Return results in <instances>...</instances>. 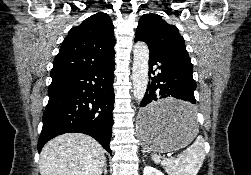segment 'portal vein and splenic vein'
Segmentation results:
<instances>
[{
	"mask_svg": "<svg viewBox=\"0 0 251 175\" xmlns=\"http://www.w3.org/2000/svg\"><path fill=\"white\" fill-rule=\"evenodd\" d=\"M176 152L175 151H169L168 153L164 154L165 158H170L171 156H175Z\"/></svg>",
	"mask_w": 251,
	"mask_h": 175,
	"instance_id": "obj_1",
	"label": "portal vein and splenic vein"
}]
</instances>
